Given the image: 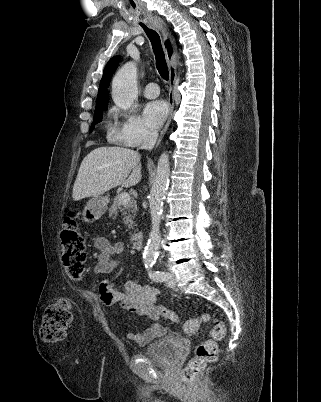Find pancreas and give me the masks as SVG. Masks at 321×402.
I'll use <instances>...</instances> for the list:
<instances>
[{
    "label": "pancreas",
    "instance_id": "1",
    "mask_svg": "<svg viewBox=\"0 0 321 402\" xmlns=\"http://www.w3.org/2000/svg\"><path fill=\"white\" fill-rule=\"evenodd\" d=\"M118 210H120L124 215L122 219L123 223L128 226V229H133V219L135 218L137 212L136 201L130 200L127 204L123 205L119 201V195H117L113 199V203L109 208V216L115 219L118 214Z\"/></svg>",
    "mask_w": 321,
    "mask_h": 402
}]
</instances>
